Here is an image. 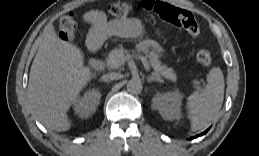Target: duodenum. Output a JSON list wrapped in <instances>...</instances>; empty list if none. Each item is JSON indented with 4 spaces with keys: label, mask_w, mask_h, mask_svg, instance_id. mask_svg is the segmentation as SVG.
Wrapping results in <instances>:
<instances>
[{
    "label": "duodenum",
    "mask_w": 259,
    "mask_h": 156,
    "mask_svg": "<svg viewBox=\"0 0 259 156\" xmlns=\"http://www.w3.org/2000/svg\"><path fill=\"white\" fill-rule=\"evenodd\" d=\"M98 44H94L93 48H97ZM90 67L95 69V70H101L104 67V63L100 59H91L89 61Z\"/></svg>",
    "instance_id": "1"
}]
</instances>
